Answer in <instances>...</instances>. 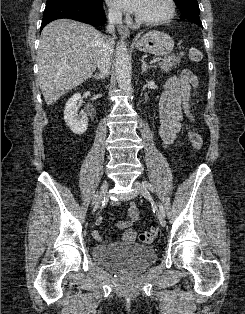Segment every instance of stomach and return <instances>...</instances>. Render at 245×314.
Instances as JSON below:
<instances>
[{
    "instance_id": "stomach-1",
    "label": "stomach",
    "mask_w": 245,
    "mask_h": 314,
    "mask_svg": "<svg viewBox=\"0 0 245 314\" xmlns=\"http://www.w3.org/2000/svg\"><path fill=\"white\" fill-rule=\"evenodd\" d=\"M135 46L139 51L166 56L173 51L174 41L164 32L149 31L141 37Z\"/></svg>"
}]
</instances>
